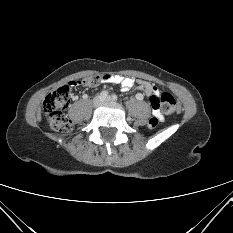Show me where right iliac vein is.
<instances>
[{
	"mask_svg": "<svg viewBox=\"0 0 233 233\" xmlns=\"http://www.w3.org/2000/svg\"><path fill=\"white\" fill-rule=\"evenodd\" d=\"M103 99L101 96H96L94 99H93V105L94 107H97L99 106L101 103H102Z\"/></svg>",
	"mask_w": 233,
	"mask_h": 233,
	"instance_id": "1",
	"label": "right iliac vein"
}]
</instances>
